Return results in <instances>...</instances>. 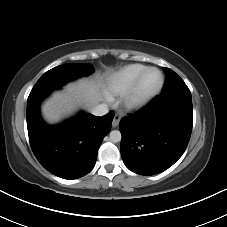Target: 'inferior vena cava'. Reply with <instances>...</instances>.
Wrapping results in <instances>:
<instances>
[{"mask_svg":"<svg viewBox=\"0 0 227 227\" xmlns=\"http://www.w3.org/2000/svg\"><path fill=\"white\" fill-rule=\"evenodd\" d=\"M109 112L106 104H99L92 108L91 113L95 116H103Z\"/></svg>","mask_w":227,"mask_h":227,"instance_id":"1","label":"inferior vena cava"}]
</instances>
